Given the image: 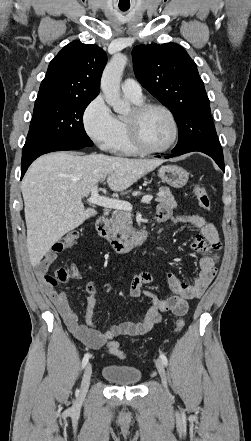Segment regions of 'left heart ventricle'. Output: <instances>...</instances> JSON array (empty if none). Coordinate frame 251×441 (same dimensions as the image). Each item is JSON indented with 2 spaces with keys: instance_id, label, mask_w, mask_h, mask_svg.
Segmentation results:
<instances>
[{
  "instance_id": "obj_1",
  "label": "left heart ventricle",
  "mask_w": 251,
  "mask_h": 441,
  "mask_svg": "<svg viewBox=\"0 0 251 441\" xmlns=\"http://www.w3.org/2000/svg\"><path fill=\"white\" fill-rule=\"evenodd\" d=\"M140 131L144 142L154 148L168 144L173 135V127L168 115L159 109H152L141 118Z\"/></svg>"
}]
</instances>
